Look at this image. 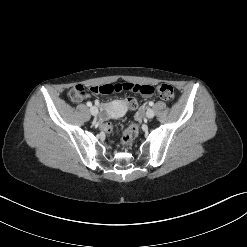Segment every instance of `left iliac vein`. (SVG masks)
Wrapping results in <instances>:
<instances>
[{
    "label": "left iliac vein",
    "instance_id": "1",
    "mask_svg": "<svg viewBox=\"0 0 247 247\" xmlns=\"http://www.w3.org/2000/svg\"><path fill=\"white\" fill-rule=\"evenodd\" d=\"M154 111H153V109H151V108H149V109H147V111H146V117L148 118V119H151V118H153L154 117Z\"/></svg>",
    "mask_w": 247,
    "mask_h": 247
}]
</instances>
